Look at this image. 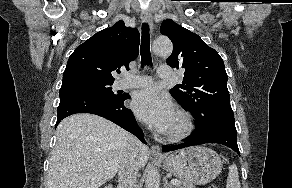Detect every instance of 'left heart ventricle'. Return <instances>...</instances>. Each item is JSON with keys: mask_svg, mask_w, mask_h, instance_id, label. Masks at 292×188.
Wrapping results in <instances>:
<instances>
[{"mask_svg": "<svg viewBox=\"0 0 292 188\" xmlns=\"http://www.w3.org/2000/svg\"><path fill=\"white\" fill-rule=\"evenodd\" d=\"M180 126H181V121H180L179 117L176 115V117H175L171 127L169 128L168 132L177 130L178 128H180Z\"/></svg>", "mask_w": 292, "mask_h": 188, "instance_id": "1", "label": "left heart ventricle"}]
</instances>
